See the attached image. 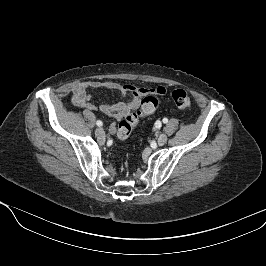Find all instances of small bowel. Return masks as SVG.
I'll return each mask as SVG.
<instances>
[{
  "label": "small bowel",
  "instance_id": "obj_1",
  "mask_svg": "<svg viewBox=\"0 0 266 266\" xmlns=\"http://www.w3.org/2000/svg\"><path fill=\"white\" fill-rule=\"evenodd\" d=\"M108 89L117 90L127 97V100L121 101L115 105H108L101 103L95 105L91 102L89 90L92 89ZM166 90L164 87L159 86L155 88H136L131 85L121 84L115 81H93L86 80L75 84L72 88V102L73 104L86 111H100L101 113L113 118L114 120H121L129 115L132 111L138 109L141 105V99L146 95H163ZM109 131L114 133L116 131L115 122L109 125Z\"/></svg>",
  "mask_w": 266,
  "mask_h": 266
}]
</instances>
